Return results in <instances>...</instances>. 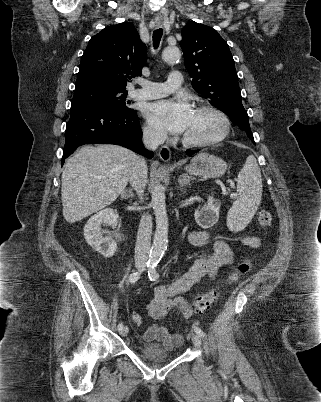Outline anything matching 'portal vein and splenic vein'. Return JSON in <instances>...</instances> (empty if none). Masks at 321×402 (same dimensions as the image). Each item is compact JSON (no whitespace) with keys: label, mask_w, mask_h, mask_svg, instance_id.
<instances>
[{"label":"portal vein and splenic vein","mask_w":321,"mask_h":402,"mask_svg":"<svg viewBox=\"0 0 321 402\" xmlns=\"http://www.w3.org/2000/svg\"><path fill=\"white\" fill-rule=\"evenodd\" d=\"M231 188H233V184L231 183ZM232 197L236 196L235 194H231Z\"/></svg>","instance_id":"portal-vein-and-splenic-vein-1"}]
</instances>
